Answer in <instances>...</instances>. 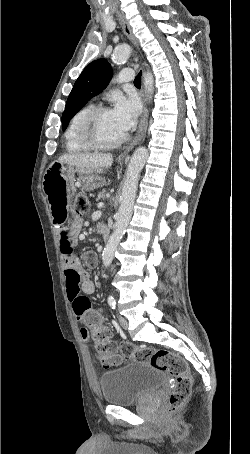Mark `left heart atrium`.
I'll return each mask as SVG.
<instances>
[{"label":"left heart atrium","instance_id":"left-heart-atrium-1","mask_svg":"<svg viewBox=\"0 0 250 454\" xmlns=\"http://www.w3.org/2000/svg\"><path fill=\"white\" fill-rule=\"evenodd\" d=\"M140 110V101L133 95L130 97H118L111 112L117 126L125 133L135 125Z\"/></svg>","mask_w":250,"mask_h":454}]
</instances>
